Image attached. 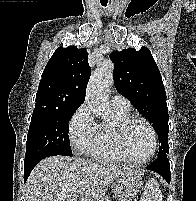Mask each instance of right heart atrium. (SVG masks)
Returning <instances> with one entry per match:
<instances>
[{"instance_id": "d8ad5b80", "label": "right heart atrium", "mask_w": 196, "mask_h": 201, "mask_svg": "<svg viewBox=\"0 0 196 201\" xmlns=\"http://www.w3.org/2000/svg\"><path fill=\"white\" fill-rule=\"evenodd\" d=\"M98 132L99 124L88 104L83 103L68 122L69 139L73 150L79 154H90L97 141Z\"/></svg>"}]
</instances>
